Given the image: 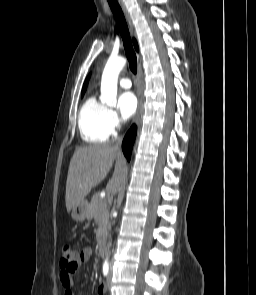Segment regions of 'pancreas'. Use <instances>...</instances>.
Returning <instances> with one entry per match:
<instances>
[{
    "mask_svg": "<svg viewBox=\"0 0 256 295\" xmlns=\"http://www.w3.org/2000/svg\"><path fill=\"white\" fill-rule=\"evenodd\" d=\"M87 217L94 218L98 224V230L96 232L97 239H99L101 233L106 229L108 222V205L107 201L103 199H93L88 205Z\"/></svg>",
    "mask_w": 256,
    "mask_h": 295,
    "instance_id": "obj_1",
    "label": "pancreas"
}]
</instances>
